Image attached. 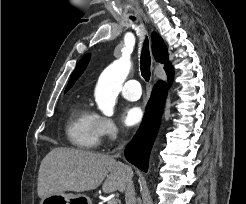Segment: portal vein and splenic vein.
Listing matches in <instances>:
<instances>
[{
	"label": "portal vein and splenic vein",
	"mask_w": 246,
	"mask_h": 204,
	"mask_svg": "<svg viewBox=\"0 0 246 204\" xmlns=\"http://www.w3.org/2000/svg\"><path fill=\"white\" fill-rule=\"evenodd\" d=\"M107 204H117V199L112 198L107 202Z\"/></svg>",
	"instance_id": "obj_1"
}]
</instances>
